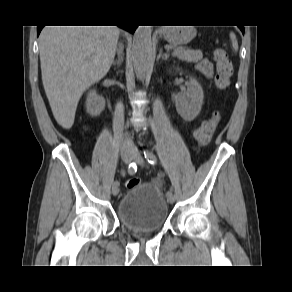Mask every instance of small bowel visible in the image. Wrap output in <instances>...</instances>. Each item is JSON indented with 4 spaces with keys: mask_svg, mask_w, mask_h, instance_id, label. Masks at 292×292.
<instances>
[{
    "mask_svg": "<svg viewBox=\"0 0 292 292\" xmlns=\"http://www.w3.org/2000/svg\"><path fill=\"white\" fill-rule=\"evenodd\" d=\"M196 68L206 78H211L213 76V64L208 59L199 61Z\"/></svg>",
    "mask_w": 292,
    "mask_h": 292,
    "instance_id": "1",
    "label": "small bowel"
}]
</instances>
